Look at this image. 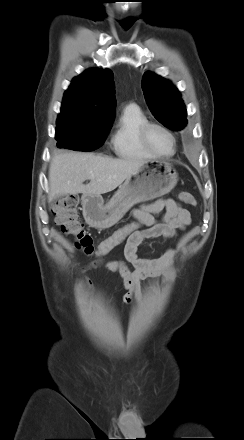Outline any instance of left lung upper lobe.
<instances>
[{
  "label": "left lung upper lobe",
  "instance_id": "1",
  "mask_svg": "<svg viewBox=\"0 0 244 440\" xmlns=\"http://www.w3.org/2000/svg\"><path fill=\"white\" fill-rule=\"evenodd\" d=\"M142 89L152 114L159 122L173 130H181L186 126L185 105L171 82L146 72L142 78Z\"/></svg>",
  "mask_w": 244,
  "mask_h": 440
}]
</instances>
